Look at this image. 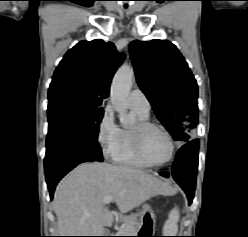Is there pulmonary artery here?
<instances>
[{
    "instance_id": "1",
    "label": "pulmonary artery",
    "mask_w": 248,
    "mask_h": 237,
    "mask_svg": "<svg viewBox=\"0 0 248 237\" xmlns=\"http://www.w3.org/2000/svg\"><path fill=\"white\" fill-rule=\"evenodd\" d=\"M129 103L132 108H135L143 113L150 112V102L146 95L138 88L132 90L129 96Z\"/></svg>"
}]
</instances>
